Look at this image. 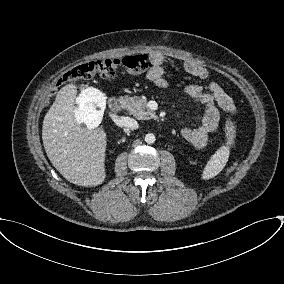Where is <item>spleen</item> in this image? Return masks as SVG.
<instances>
[{
  "label": "spleen",
  "instance_id": "1",
  "mask_svg": "<svg viewBox=\"0 0 284 284\" xmlns=\"http://www.w3.org/2000/svg\"><path fill=\"white\" fill-rule=\"evenodd\" d=\"M229 154L230 150L228 146L220 147L207 162L202 173V179L208 180L219 174L225 167Z\"/></svg>",
  "mask_w": 284,
  "mask_h": 284
}]
</instances>
